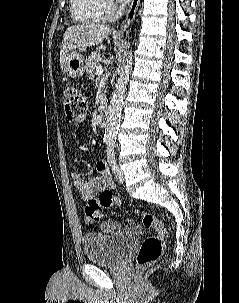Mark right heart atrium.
<instances>
[{
	"instance_id": "obj_1",
	"label": "right heart atrium",
	"mask_w": 239,
	"mask_h": 303,
	"mask_svg": "<svg viewBox=\"0 0 239 303\" xmlns=\"http://www.w3.org/2000/svg\"><path fill=\"white\" fill-rule=\"evenodd\" d=\"M101 9L105 15L111 16L116 11V6L112 0H100Z\"/></svg>"
}]
</instances>
